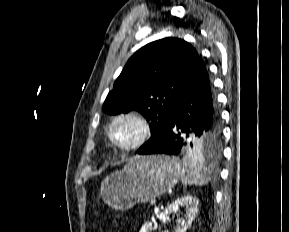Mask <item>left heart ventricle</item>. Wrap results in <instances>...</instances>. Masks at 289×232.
Listing matches in <instances>:
<instances>
[{
	"label": "left heart ventricle",
	"instance_id": "b2bd125f",
	"mask_svg": "<svg viewBox=\"0 0 289 232\" xmlns=\"http://www.w3.org/2000/svg\"><path fill=\"white\" fill-rule=\"evenodd\" d=\"M138 134V125L128 119L117 122L113 128V136L120 144L131 143L137 138Z\"/></svg>",
	"mask_w": 289,
	"mask_h": 232
}]
</instances>
